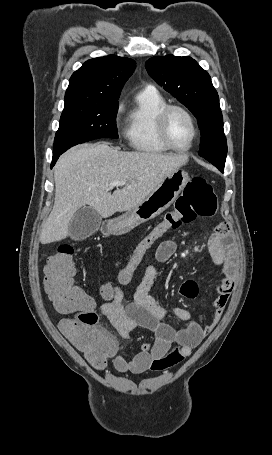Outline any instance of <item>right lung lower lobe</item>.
<instances>
[{
    "label": "right lung lower lobe",
    "instance_id": "1",
    "mask_svg": "<svg viewBox=\"0 0 272 455\" xmlns=\"http://www.w3.org/2000/svg\"><path fill=\"white\" fill-rule=\"evenodd\" d=\"M61 154H62L61 152H53V159H52L51 167L55 164V162L57 161V159L59 158V156Z\"/></svg>",
    "mask_w": 272,
    "mask_h": 455
}]
</instances>
